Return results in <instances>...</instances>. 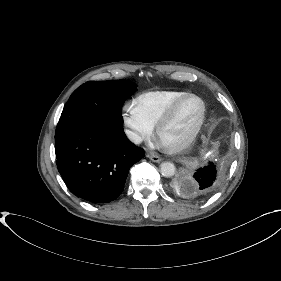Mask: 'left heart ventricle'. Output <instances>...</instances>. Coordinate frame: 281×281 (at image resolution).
<instances>
[{"label":"left heart ventricle","mask_w":281,"mask_h":281,"mask_svg":"<svg viewBox=\"0 0 281 281\" xmlns=\"http://www.w3.org/2000/svg\"><path fill=\"white\" fill-rule=\"evenodd\" d=\"M201 112V104L196 99L187 100L178 110L173 120L164 129L161 139L165 144H175L184 139L195 127Z\"/></svg>","instance_id":"1"}]
</instances>
